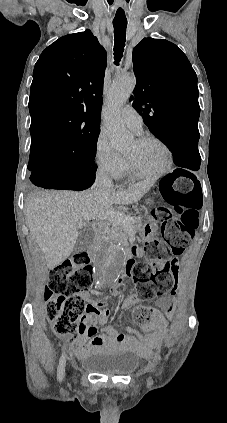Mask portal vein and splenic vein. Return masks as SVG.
<instances>
[{"label":"portal vein and splenic vein","mask_w":227,"mask_h":423,"mask_svg":"<svg viewBox=\"0 0 227 423\" xmlns=\"http://www.w3.org/2000/svg\"><path fill=\"white\" fill-rule=\"evenodd\" d=\"M93 217H99V219H113V221H118V223H127V221H131V223H133L134 221V217H131V215H125V213H121V211L113 210L96 211Z\"/></svg>","instance_id":"obj_1"}]
</instances>
